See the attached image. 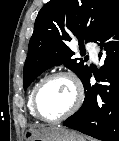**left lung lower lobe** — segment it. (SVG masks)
<instances>
[{
  "instance_id": "0a47b994",
  "label": "left lung lower lobe",
  "mask_w": 119,
  "mask_h": 141,
  "mask_svg": "<svg viewBox=\"0 0 119 141\" xmlns=\"http://www.w3.org/2000/svg\"><path fill=\"white\" fill-rule=\"evenodd\" d=\"M104 66L90 84L92 70L83 79L85 99L81 108L66 119L64 126L99 140L119 141V8L96 33Z\"/></svg>"
}]
</instances>
